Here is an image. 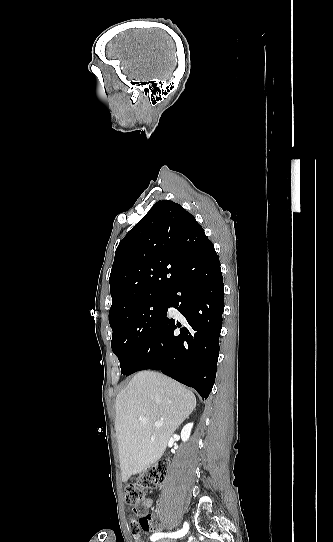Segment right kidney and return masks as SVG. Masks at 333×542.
<instances>
[{"label": "right kidney", "instance_id": "obj_1", "mask_svg": "<svg viewBox=\"0 0 333 542\" xmlns=\"http://www.w3.org/2000/svg\"><path fill=\"white\" fill-rule=\"evenodd\" d=\"M193 424H186L184 426L182 432H181V440L182 442H187L188 438H190V432L192 430Z\"/></svg>", "mask_w": 333, "mask_h": 542}]
</instances>
